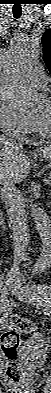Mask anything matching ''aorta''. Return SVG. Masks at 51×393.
Returning <instances> with one entry per match:
<instances>
[{
  "label": "aorta",
  "mask_w": 51,
  "mask_h": 393,
  "mask_svg": "<svg viewBox=\"0 0 51 393\" xmlns=\"http://www.w3.org/2000/svg\"><path fill=\"white\" fill-rule=\"evenodd\" d=\"M40 51L38 43L23 36L11 42L2 62V94L18 112H33L40 106L41 99L28 78ZM31 216L42 239L43 250L37 259L38 267L45 270L51 263V222L38 205L31 206Z\"/></svg>",
  "instance_id": "obj_1"
}]
</instances>
